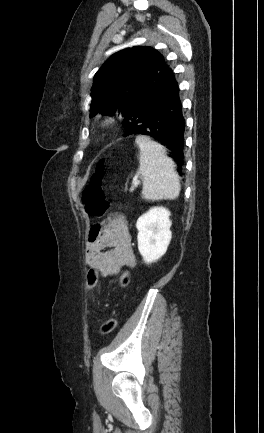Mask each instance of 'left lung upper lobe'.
<instances>
[{
    "label": "left lung upper lobe",
    "instance_id": "obj_1",
    "mask_svg": "<svg viewBox=\"0 0 264 433\" xmlns=\"http://www.w3.org/2000/svg\"><path fill=\"white\" fill-rule=\"evenodd\" d=\"M166 67L163 55L151 47H132L113 54L96 72L90 116H125L138 95Z\"/></svg>",
    "mask_w": 264,
    "mask_h": 433
}]
</instances>
